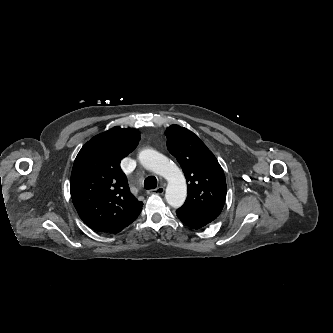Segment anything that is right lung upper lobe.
I'll return each instance as SVG.
<instances>
[{"label": "right lung upper lobe", "mask_w": 333, "mask_h": 333, "mask_svg": "<svg viewBox=\"0 0 333 333\" xmlns=\"http://www.w3.org/2000/svg\"><path fill=\"white\" fill-rule=\"evenodd\" d=\"M139 140L137 129L114 127L93 137L78 153L71 173V198L91 229L117 234L139 216L143 203L131 194L120 168V161Z\"/></svg>", "instance_id": "obj_1"}]
</instances>
